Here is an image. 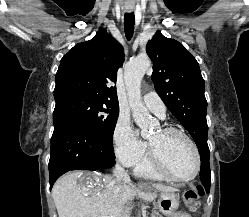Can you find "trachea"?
<instances>
[{
  "label": "trachea",
  "mask_w": 249,
  "mask_h": 217,
  "mask_svg": "<svg viewBox=\"0 0 249 217\" xmlns=\"http://www.w3.org/2000/svg\"><path fill=\"white\" fill-rule=\"evenodd\" d=\"M134 24H135V17L134 13H125L124 15V30L125 36L128 40H130L134 33Z\"/></svg>",
  "instance_id": "trachea-1"
}]
</instances>
